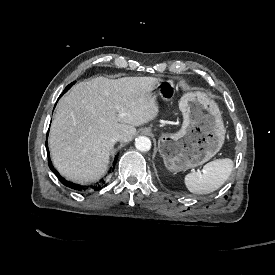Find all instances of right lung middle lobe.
Here are the masks:
<instances>
[{"label": "right lung middle lobe", "mask_w": 275, "mask_h": 275, "mask_svg": "<svg viewBox=\"0 0 275 275\" xmlns=\"http://www.w3.org/2000/svg\"><path fill=\"white\" fill-rule=\"evenodd\" d=\"M74 83H75V82H72L71 84H69V85L65 88L64 93H65L68 89H70L71 86H72Z\"/></svg>", "instance_id": "dd1d6c3e"}]
</instances>
